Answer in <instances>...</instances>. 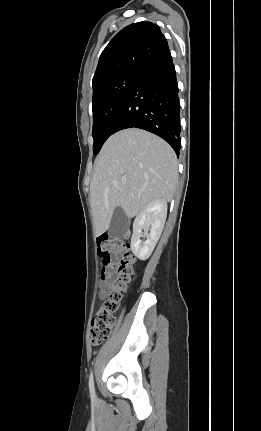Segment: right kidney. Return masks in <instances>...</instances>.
<instances>
[{
  "mask_svg": "<svg viewBox=\"0 0 261 431\" xmlns=\"http://www.w3.org/2000/svg\"><path fill=\"white\" fill-rule=\"evenodd\" d=\"M167 217V202L158 199L150 202L140 211L133 223L131 250L140 260H146L152 254L164 228ZM144 230L146 240L141 241Z\"/></svg>",
  "mask_w": 261,
  "mask_h": 431,
  "instance_id": "right-kidney-1",
  "label": "right kidney"
}]
</instances>
